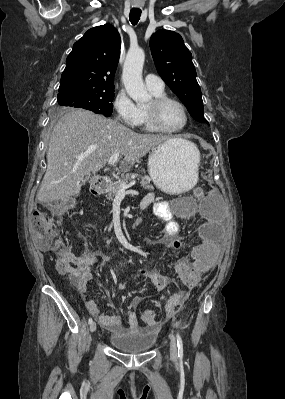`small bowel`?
<instances>
[{
    "mask_svg": "<svg viewBox=\"0 0 285 399\" xmlns=\"http://www.w3.org/2000/svg\"><path fill=\"white\" fill-rule=\"evenodd\" d=\"M150 206H152L154 215L164 223L163 236L159 242L164 249L171 253H179L185 248L186 238L181 235L179 223L171 213L168 201L157 200L155 195L149 192L141 201V209L145 210ZM194 213L201 215L204 223L197 234L198 244L191 248L189 257L184 255L170 262L168 264L169 272H164L161 269H140L136 272V275L148 279L158 292L165 290L174 276L182 281L183 290L172 294L167 301V305L171 303L181 305L188 298L190 292L204 279L208 271L216 263L219 255L220 248L216 232L219 221L215 209L211 205L200 204L194 210ZM192 214L193 212L185 214V216H191ZM97 261L94 257L76 256L74 265L80 274L78 287L82 291L87 290V284L92 279V267ZM139 302V299H134L129 304L127 328L121 326V320L118 316L103 314L95 300L88 299L86 307L100 326L109 332L120 334L126 330L138 328L136 308Z\"/></svg>",
    "mask_w": 285,
    "mask_h": 399,
    "instance_id": "1",
    "label": "small bowel"
}]
</instances>
